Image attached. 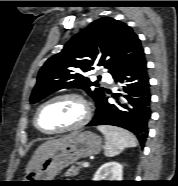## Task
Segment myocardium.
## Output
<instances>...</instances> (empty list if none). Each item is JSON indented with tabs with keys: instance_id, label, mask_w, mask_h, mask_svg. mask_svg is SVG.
<instances>
[{
	"instance_id": "obj_1",
	"label": "myocardium",
	"mask_w": 178,
	"mask_h": 186,
	"mask_svg": "<svg viewBox=\"0 0 178 186\" xmlns=\"http://www.w3.org/2000/svg\"><path fill=\"white\" fill-rule=\"evenodd\" d=\"M63 98H73L80 102L84 110L82 118L76 124L63 128V129L54 130V131L44 130L39 123V115H40L41 110L49 103L59 100V99H63ZM91 114H92L91 107L89 103L87 102V100L81 94L75 93V92H66V93L55 95L49 98L48 100L44 101L42 104H40L34 115V124H35V127L43 134L57 135V134L72 132V131L81 129L89 122L91 118Z\"/></svg>"
}]
</instances>
